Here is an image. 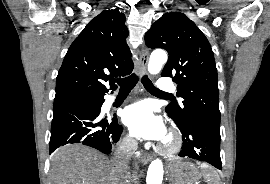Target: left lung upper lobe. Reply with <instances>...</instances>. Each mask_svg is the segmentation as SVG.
<instances>
[{
	"label": "left lung upper lobe",
	"mask_w": 270,
	"mask_h": 184,
	"mask_svg": "<svg viewBox=\"0 0 270 184\" xmlns=\"http://www.w3.org/2000/svg\"><path fill=\"white\" fill-rule=\"evenodd\" d=\"M146 45L162 48L169 58L162 77H172L183 106L171 104L166 112L179 126L194 119L220 125L217 69L211 45L185 14L169 12L145 34Z\"/></svg>",
	"instance_id": "obj_1"
}]
</instances>
